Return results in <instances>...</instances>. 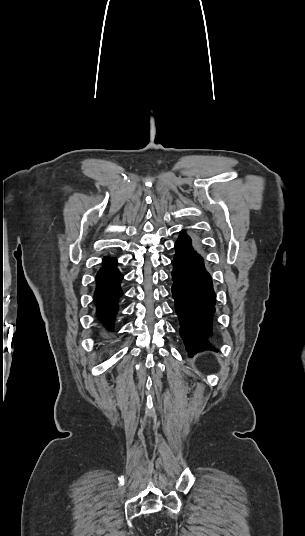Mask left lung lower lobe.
Here are the masks:
<instances>
[{
    "mask_svg": "<svg viewBox=\"0 0 305 536\" xmlns=\"http://www.w3.org/2000/svg\"><path fill=\"white\" fill-rule=\"evenodd\" d=\"M175 249L172 293L186 350L190 356L204 349L218 351L210 341L216 300L211 276L184 230Z\"/></svg>",
    "mask_w": 305,
    "mask_h": 536,
    "instance_id": "left-lung-lower-lobe-1",
    "label": "left lung lower lobe"
}]
</instances>
